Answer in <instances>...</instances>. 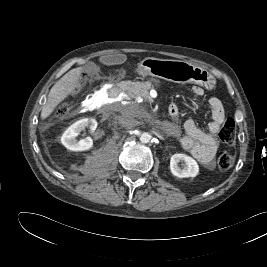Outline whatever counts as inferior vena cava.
Returning a JSON list of instances; mask_svg holds the SVG:
<instances>
[{
  "label": "inferior vena cava",
  "mask_w": 267,
  "mask_h": 267,
  "mask_svg": "<svg viewBox=\"0 0 267 267\" xmlns=\"http://www.w3.org/2000/svg\"><path fill=\"white\" fill-rule=\"evenodd\" d=\"M119 124L124 128H133L137 126L139 122L134 119L133 113L126 108L119 117Z\"/></svg>",
  "instance_id": "1"
}]
</instances>
